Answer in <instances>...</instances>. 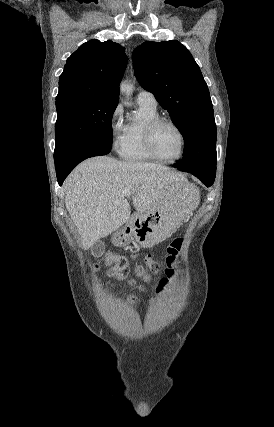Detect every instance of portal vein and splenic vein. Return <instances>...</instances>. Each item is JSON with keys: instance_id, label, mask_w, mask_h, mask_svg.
Returning a JSON list of instances; mask_svg holds the SVG:
<instances>
[{"instance_id": "portal-vein-and-splenic-vein-1", "label": "portal vein and splenic vein", "mask_w": 274, "mask_h": 427, "mask_svg": "<svg viewBox=\"0 0 274 427\" xmlns=\"http://www.w3.org/2000/svg\"><path fill=\"white\" fill-rule=\"evenodd\" d=\"M122 196H126V198H130V196H132V192H130V190H124V192H122Z\"/></svg>"}]
</instances>
